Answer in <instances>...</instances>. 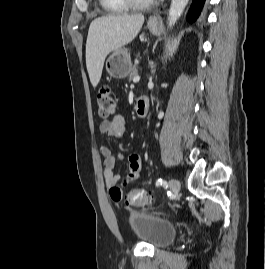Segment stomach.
Here are the masks:
<instances>
[{
  "label": "stomach",
  "instance_id": "stomach-1",
  "mask_svg": "<svg viewBox=\"0 0 265 269\" xmlns=\"http://www.w3.org/2000/svg\"><path fill=\"white\" fill-rule=\"evenodd\" d=\"M147 27L154 35L160 33L161 25L158 21L149 20ZM106 70L110 77L116 79L126 77L132 70L131 57L127 49L120 48L114 51L107 59Z\"/></svg>",
  "mask_w": 265,
  "mask_h": 269
}]
</instances>
